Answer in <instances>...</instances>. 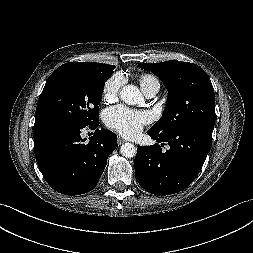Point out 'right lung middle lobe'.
I'll use <instances>...</instances> for the list:
<instances>
[{"label":"right lung middle lobe","mask_w":253,"mask_h":253,"mask_svg":"<svg viewBox=\"0 0 253 253\" xmlns=\"http://www.w3.org/2000/svg\"><path fill=\"white\" fill-rule=\"evenodd\" d=\"M114 68L69 62L48 78L35 113V125L62 122L79 128L98 121L103 87Z\"/></svg>","instance_id":"dd1d6c3e"}]
</instances>
